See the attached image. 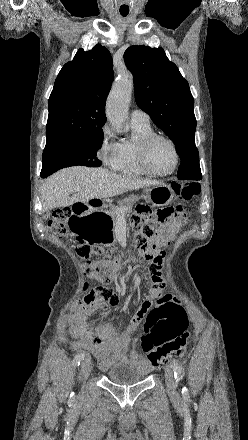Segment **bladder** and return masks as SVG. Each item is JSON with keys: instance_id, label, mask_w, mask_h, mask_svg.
I'll return each mask as SVG.
<instances>
[{"instance_id": "obj_1", "label": "bladder", "mask_w": 248, "mask_h": 440, "mask_svg": "<svg viewBox=\"0 0 248 440\" xmlns=\"http://www.w3.org/2000/svg\"><path fill=\"white\" fill-rule=\"evenodd\" d=\"M145 377L146 372L137 371L125 364L115 365L106 373V378L117 385H131L142 381Z\"/></svg>"}]
</instances>
